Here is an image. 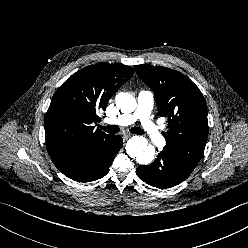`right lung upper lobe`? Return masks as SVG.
Masks as SVG:
<instances>
[{
	"label": "right lung upper lobe",
	"instance_id": "right-lung-upper-lobe-1",
	"mask_svg": "<svg viewBox=\"0 0 248 248\" xmlns=\"http://www.w3.org/2000/svg\"><path fill=\"white\" fill-rule=\"evenodd\" d=\"M133 73L129 66L99 63L79 70L60 86L45 115L46 146L54 163L107 136L91 124Z\"/></svg>",
	"mask_w": 248,
	"mask_h": 248
}]
</instances>
